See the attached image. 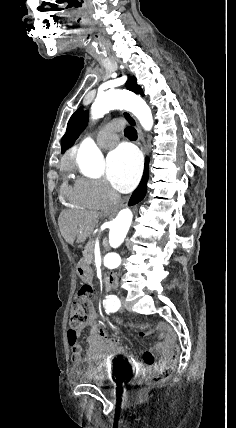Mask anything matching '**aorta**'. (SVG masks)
Segmentation results:
<instances>
[{
    "mask_svg": "<svg viewBox=\"0 0 236 428\" xmlns=\"http://www.w3.org/2000/svg\"><path fill=\"white\" fill-rule=\"evenodd\" d=\"M113 109H125L132 112L145 130L153 126L151 109L146 102L127 90H110L99 94L91 107V117L97 120ZM78 162L85 171L98 175L103 168V156L91 138L85 139L78 152ZM133 214L130 209H122L109 227V244L118 248L124 241L131 226ZM121 257L116 252H108L103 259L104 265L115 269L121 264Z\"/></svg>",
    "mask_w": 236,
    "mask_h": 428,
    "instance_id": "1",
    "label": "aorta"
}]
</instances>
